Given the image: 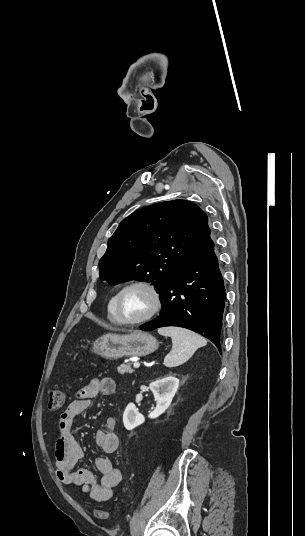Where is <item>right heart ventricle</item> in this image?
Returning a JSON list of instances; mask_svg holds the SVG:
<instances>
[{
	"label": "right heart ventricle",
	"instance_id": "1",
	"mask_svg": "<svg viewBox=\"0 0 305 536\" xmlns=\"http://www.w3.org/2000/svg\"><path fill=\"white\" fill-rule=\"evenodd\" d=\"M116 293L115 292L109 299L108 303H107V307H106V315H107V319L108 321L113 324V325H119L116 317H115V314H114V300H115V296H116Z\"/></svg>",
	"mask_w": 305,
	"mask_h": 536
}]
</instances>
